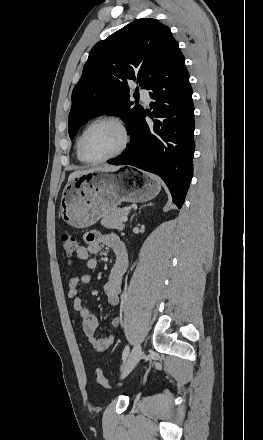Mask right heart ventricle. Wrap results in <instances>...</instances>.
I'll list each match as a JSON object with an SVG mask.
<instances>
[{
	"label": "right heart ventricle",
	"mask_w": 263,
	"mask_h": 440,
	"mask_svg": "<svg viewBox=\"0 0 263 440\" xmlns=\"http://www.w3.org/2000/svg\"><path fill=\"white\" fill-rule=\"evenodd\" d=\"M77 143H78V141H77ZM77 143H76V155H77V158L81 161V159L79 158V155H78V151H77Z\"/></svg>",
	"instance_id": "obj_1"
}]
</instances>
